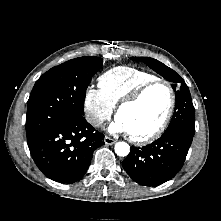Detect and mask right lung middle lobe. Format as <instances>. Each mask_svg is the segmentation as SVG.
Listing matches in <instances>:
<instances>
[{"label": "right lung middle lobe", "mask_w": 221, "mask_h": 221, "mask_svg": "<svg viewBox=\"0 0 221 221\" xmlns=\"http://www.w3.org/2000/svg\"><path fill=\"white\" fill-rule=\"evenodd\" d=\"M102 64L99 57L75 58L36 81L27 102V142L60 122L82 117L86 89Z\"/></svg>", "instance_id": "right-lung-middle-lobe-1"}]
</instances>
